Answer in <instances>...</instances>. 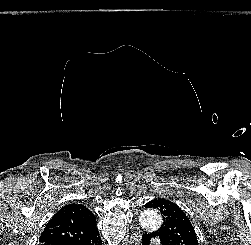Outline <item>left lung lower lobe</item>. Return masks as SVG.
I'll return each instance as SVG.
<instances>
[{
    "label": "left lung lower lobe",
    "mask_w": 251,
    "mask_h": 245,
    "mask_svg": "<svg viewBox=\"0 0 251 245\" xmlns=\"http://www.w3.org/2000/svg\"><path fill=\"white\" fill-rule=\"evenodd\" d=\"M155 237H158L160 239L161 245H172V243H170L168 240H166V238L160 236L159 234H157L155 232L144 234L142 236L143 245H149L150 244V240L152 238H155Z\"/></svg>",
    "instance_id": "0a47b994"
}]
</instances>
